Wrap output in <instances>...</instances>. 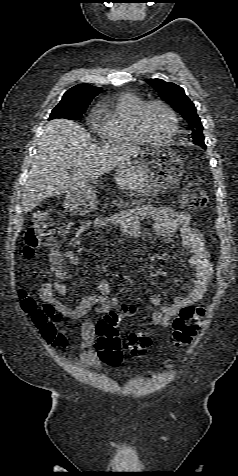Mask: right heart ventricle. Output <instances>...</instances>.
<instances>
[{"instance_id":"right-heart-ventricle-1","label":"right heart ventricle","mask_w":238,"mask_h":476,"mask_svg":"<svg viewBox=\"0 0 238 476\" xmlns=\"http://www.w3.org/2000/svg\"><path fill=\"white\" fill-rule=\"evenodd\" d=\"M144 99L132 92H120L99 108L96 129L108 143L116 145H141L145 140L135 125L138 108Z\"/></svg>"}]
</instances>
